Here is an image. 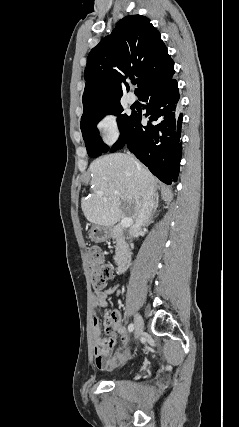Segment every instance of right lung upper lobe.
I'll return each mask as SVG.
<instances>
[{
    "label": "right lung upper lobe",
    "instance_id": "obj_1",
    "mask_svg": "<svg viewBox=\"0 0 239 427\" xmlns=\"http://www.w3.org/2000/svg\"><path fill=\"white\" fill-rule=\"evenodd\" d=\"M172 72L174 62L160 32L145 16H126L88 55L82 116L98 106L120 102L129 88L126 78L137 77L138 95Z\"/></svg>",
    "mask_w": 239,
    "mask_h": 427
}]
</instances>
